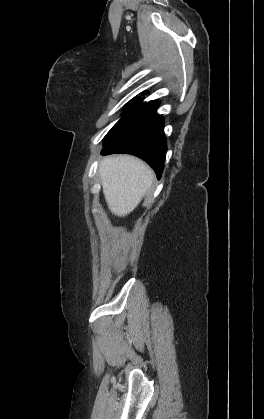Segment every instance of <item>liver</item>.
I'll use <instances>...</instances> for the list:
<instances>
[{
  "instance_id": "1",
  "label": "liver",
  "mask_w": 264,
  "mask_h": 419,
  "mask_svg": "<svg viewBox=\"0 0 264 419\" xmlns=\"http://www.w3.org/2000/svg\"><path fill=\"white\" fill-rule=\"evenodd\" d=\"M99 174L108 208L120 217L137 207L154 179L153 171L142 160L129 155L104 157Z\"/></svg>"
}]
</instances>
